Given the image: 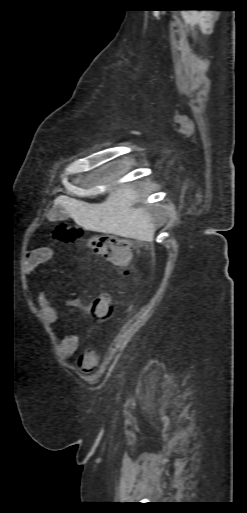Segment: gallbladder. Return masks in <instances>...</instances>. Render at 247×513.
Here are the masks:
<instances>
[{"mask_svg":"<svg viewBox=\"0 0 247 513\" xmlns=\"http://www.w3.org/2000/svg\"><path fill=\"white\" fill-rule=\"evenodd\" d=\"M50 217L52 221H63L69 218V214L63 207L57 206L50 212Z\"/></svg>","mask_w":247,"mask_h":513,"instance_id":"bac80fb5","label":"gallbladder"}]
</instances>
